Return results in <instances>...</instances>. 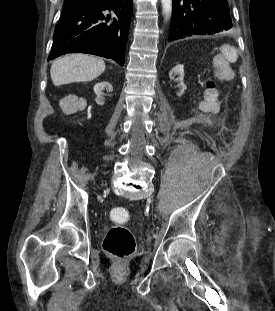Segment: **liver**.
Here are the masks:
<instances>
[{
  "mask_svg": "<svg viewBox=\"0 0 275 311\" xmlns=\"http://www.w3.org/2000/svg\"><path fill=\"white\" fill-rule=\"evenodd\" d=\"M105 70L102 59L85 54H71L53 62L50 74L55 86L73 82H87L101 75Z\"/></svg>",
  "mask_w": 275,
  "mask_h": 311,
  "instance_id": "liver-1",
  "label": "liver"
}]
</instances>
